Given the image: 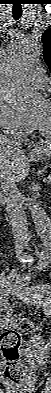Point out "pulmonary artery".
I'll return each instance as SVG.
<instances>
[{
  "instance_id": "e3ab8cb5",
  "label": "pulmonary artery",
  "mask_w": 51,
  "mask_h": 393,
  "mask_svg": "<svg viewBox=\"0 0 51 393\" xmlns=\"http://www.w3.org/2000/svg\"><path fill=\"white\" fill-rule=\"evenodd\" d=\"M30 81L35 87L43 89L47 85L48 78L41 68H36L30 74Z\"/></svg>"
}]
</instances>
